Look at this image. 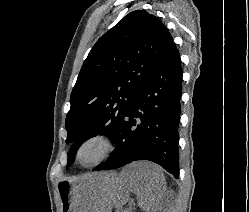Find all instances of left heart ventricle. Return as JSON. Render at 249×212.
<instances>
[{
  "label": "left heart ventricle",
  "instance_id": "obj_1",
  "mask_svg": "<svg viewBox=\"0 0 249 212\" xmlns=\"http://www.w3.org/2000/svg\"><path fill=\"white\" fill-rule=\"evenodd\" d=\"M105 151V144L102 141L88 143L80 153V161L83 163L92 162L98 159Z\"/></svg>",
  "mask_w": 249,
  "mask_h": 212
}]
</instances>
